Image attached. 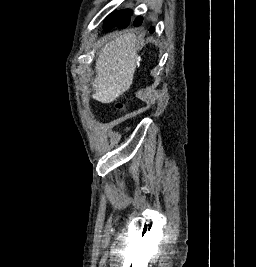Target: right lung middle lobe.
Masks as SVG:
<instances>
[{"label": "right lung middle lobe", "instance_id": "dd1d6c3e", "mask_svg": "<svg viewBox=\"0 0 256 267\" xmlns=\"http://www.w3.org/2000/svg\"><path fill=\"white\" fill-rule=\"evenodd\" d=\"M130 10H123L120 12H114L109 15L104 22V30L109 31L117 24L122 23L124 20L128 19L131 16Z\"/></svg>", "mask_w": 256, "mask_h": 267}]
</instances>
